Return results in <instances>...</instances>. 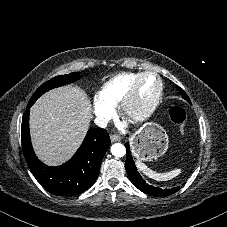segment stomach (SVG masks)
Here are the masks:
<instances>
[{
  "label": "stomach",
  "mask_w": 227,
  "mask_h": 227,
  "mask_svg": "<svg viewBox=\"0 0 227 227\" xmlns=\"http://www.w3.org/2000/svg\"><path fill=\"white\" fill-rule=\"evenodd\" d=\"M133 155L140 161H150L165 154L168 149V135L157 123H146L130 139Z\"/></svg>",
  "instance_id": "1"
}]
</instances>
